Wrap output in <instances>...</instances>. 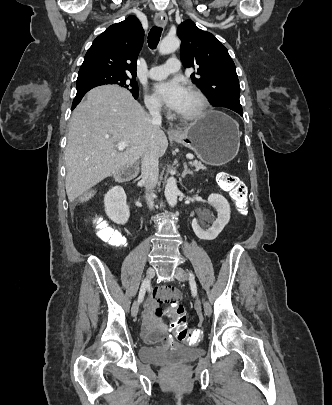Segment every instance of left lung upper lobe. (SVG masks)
I'll return each mask as SVG.
<instances>
[{"label": "left lung upper lobe", "instance_id": "1", "mask_svg": "<svg viewBox=\"0 0 332 405\" xmlns=\"http://www.w3.org/2000/svg\"><path fill=\"white\" fill-rule=\"evenodd\" d=\"M177 35L181 40V61L185 68L195 69L191 79L210 98V103L233 111L241 108L236 68L226 47L191 20L178 26Z\"/></svg>", "mask_w": 332, "mask_h": 405}]
</instances>
